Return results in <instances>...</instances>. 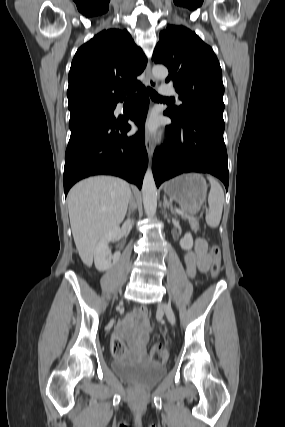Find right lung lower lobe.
Instances as JSON below:
<instances>
[{"instance_id":"98d812e1","label":"right lung lower lobe","mask_w":285,"mask_h":427,"mask_svg":"<svg viewBox=\"0 0 285 427\" xmlns=\"http://www.w3.org/2000/svg\"><path fill=\"white\" fill-rule=\"evenodd\" d=\"M148 104L145 88L139 87L138 99L128 116H87L70 127L64 167L65 195L77 181L99 174L119 176L141 189L148 162L144 136ZM128 119L139 126L131 137H127L131 129Z\"/></svg>"}]
</instances>
